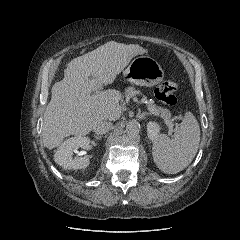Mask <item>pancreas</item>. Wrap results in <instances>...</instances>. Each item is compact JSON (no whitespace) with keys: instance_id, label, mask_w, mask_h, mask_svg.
Segmentation results:
<instances>
[{"instance_id":"pancreas-1","label":"pancreas","mask_w":240,"mask_h":240,"mask_svg":"<svg viewBox=\"0 0 240 240\" xmlns=\"http://www.w3.org/2000/svg\"><path fill=\"white\" fill-rule=\"evenodd\" d=\"M140 92L135 90V88L133 87H128L125 91V95L126 97H132L134 95L139 94ZM148 107H152L154 109L157 110L158 115L165 121V122H171V113L168 109H164L161 107H157L155 104L153 103H149Z\"/></svg>"}]
</instances>
